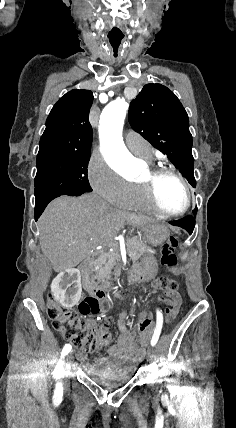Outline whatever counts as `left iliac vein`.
Masks as SVG:
<instances>
[{"label": "left iliac vein", "instance_id": "obj_1", "mask_svg": "<svg viewBox=\"0 0 236 428\" xmlns=\"http://www.w3.org/2000/svg\"><path fill=\"white\" fill-rule=\"evenodd\" d=\"M157 356H158V353H157V351L156 350H151L150 351V353H149V356H148V358H146V363H148V364H152V362H154L155 361V358H157Z\"/></svg>", "mask_w": 236, "mask_h": 428}]
</instances>
